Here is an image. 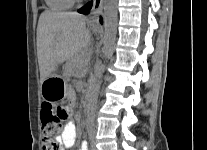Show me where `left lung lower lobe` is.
I'll list each match as a JSON object with an SVG mask.
<instances>
[{
    "mask_svg": "<svg viewBox=\"0 0 207 150\" xmlns=\"http://www.w3.org/2000/svg\"><path fill=\"white\" fill-rule=\"evenodd\" d=\"M97 2H99V1H97ZM92 5H93V1L87 3L85 6H83L82 8H80L78 10V12L79 13H82V14H87L90 11V9L92 8ZM100 22L102 23V18H100Z\"/></svg>",
    "mask_w": 207,
    "mask_h": 150,
    "instance_id": "left-lung-lower-lobe-1",
    "label": "left lung lower lobe"
}]
</instances>
